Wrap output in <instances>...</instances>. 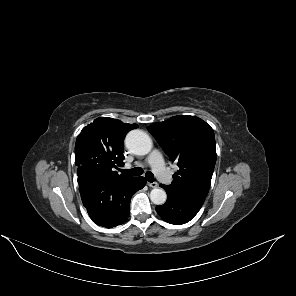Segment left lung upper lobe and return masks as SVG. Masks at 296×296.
Listing matches in <instances>:
<instances>
[{"instance_id": "obj_1", "label": "left lung upper lobe", "mask_w": 296, "mask_h": 296, "mask_svg": "<svg viewBox=\"0 0 296 296\" xmlns=\"http://www.w3.org/2000/svg\"><path fill=\"white\" fill-rule=\"evenodd\" d=\"M172 162L179 170L169 191L206 197L216 163L213 129L195 116H174L148 126Z\"/></svg>"}]
</instances>
